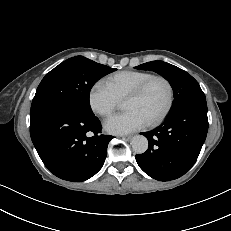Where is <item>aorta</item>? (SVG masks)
Here are the masks:
<instances>
[{
	"mask_svg": "<svg viewBox=\"0 0 231 231\" xmlns=\"http://www.w3.org/2000/svg\"><path fill=\"white\" fill-rule=\"evenodd\" d=\"M131 146L135 153L142 154L148 149V140L143 135H135L131 140Z\"/></svg>",
	"mask_w": 231,
	"mask_h": 231,
	"instance_id": "aorta-1",
	"label": "aorta"
}]
</instances>
